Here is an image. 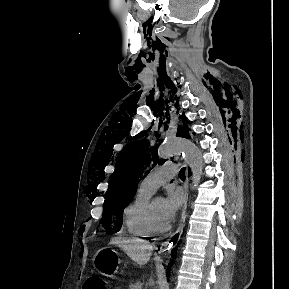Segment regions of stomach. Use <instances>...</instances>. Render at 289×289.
<instances>
[{"label":"stomach","instance_id":"stomach-1","mask_svg":"<svg viewBox=\"0 0 289 289\" xmlns=\"http://www.w3.org/2000/svg\"><path fill=\"white\" fill-rule=\"evenodd\" d=\"M118 253L109 247L101 248L95 255L94 263L96 270L104 276H113L118 270Z\"/></svg>","mask_w":289,"mask_h":289}]
</instances>
